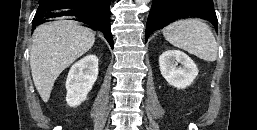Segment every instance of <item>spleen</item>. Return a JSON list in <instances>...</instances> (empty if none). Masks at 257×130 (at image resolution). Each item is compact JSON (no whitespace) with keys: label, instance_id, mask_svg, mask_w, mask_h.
<instances>
[{"label":"spleen","instance_id":"1","mask_svg":"<svg viewBox=\"0 0 257 130\" xmlns=\"http://www.w3.org/2000/svg\"><path fill=\"white\" fill-rule=\"evenodd\" d=\"M165 39L173 46L207 62L217 59L218 46L209 26L200 19L173 22L163 29Z\"/></svg>","mask_w":257,"mask_h":130}]
</instances>
